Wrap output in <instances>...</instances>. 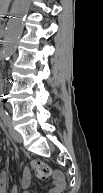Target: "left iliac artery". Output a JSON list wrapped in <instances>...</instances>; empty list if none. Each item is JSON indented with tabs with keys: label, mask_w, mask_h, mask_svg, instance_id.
<instances>
[{
	"label": "left iliac artery",
	"mask_w": 103,
	"mask_h": 193,
	"mask_svg": "<svg viewBox=\"0 0 103 193\" xmlns=\"http://www.w3.org/2000/svg\"><path fill=\"white\" fill-rule=\"evenodd\" d=\"M1 118L6 126H9L11 123L10 116L7 112L1 114Z\"/></svg>",
	"instance_id": "44dca946"
}]
</instances>
